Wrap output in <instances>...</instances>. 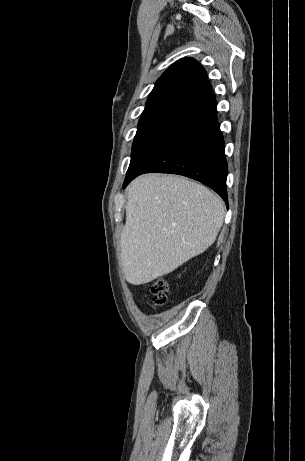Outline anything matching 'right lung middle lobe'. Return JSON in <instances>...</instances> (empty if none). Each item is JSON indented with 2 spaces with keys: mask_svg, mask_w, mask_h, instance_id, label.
<instances>
[{
  "mask_svg": "<svg viewBox=\"0 0 305 461\" xmlns=\"http://www.w3.org/2000/svg\"><path fill=\"white\" fill-rule=\"evenodd\" d=\"M187 109L177 105L144 109L134 138L129 168L140 162L167 135Z\"/></svg>",
  "mask_w": 305,
  "mask_h": 461,
  "instance_id": "dd1d6c3e",
  "label": "right lung middle lobe"
}]
</instances>
